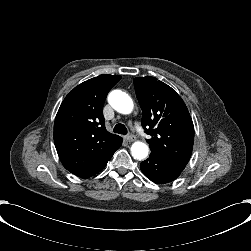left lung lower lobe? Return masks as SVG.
I'll use <instances>...</instances> for the list:
<instances>
[{"label":"left lung lower lobe","instance_id":"1","mask_svg":"<svg viewBox=\"0 0 251 251\" xmlns=\"http://www.w3.org/2000/svg\"><path fill=\"white\" fill-rule=\"evenodd\" d=\"M184 168L185 165L167 161L153 154H150L149 158L140 164V169L144 175L157 184L175 180Z\"/></svg>","mask_w":251,"mask_h":251}]
</instances>
